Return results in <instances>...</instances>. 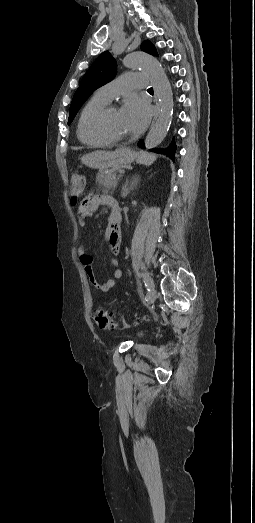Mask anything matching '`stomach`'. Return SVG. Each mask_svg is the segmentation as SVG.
Masks as SVG:
<instances>
[{"instance_id":"stomach-1","label":"stomach","mask_w":255,"mask_h":523,"mask_svg":"<svg viewBox=\"0 0 255 523\" xmlns=\"http://www.w3.org/2000/svg\"><path fill=\"white\" fill-rule=\"evenodd\" d=\"M136 154L130 148H117L115 152L101 154L99 151H90L84 159L86 167H94V170H109L114 166H127L132 164Z\"/></svg>"}]
</instances>
